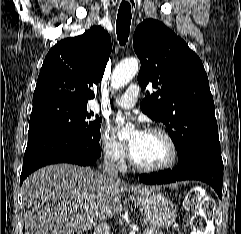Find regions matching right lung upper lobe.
Returning a JSON list of instances; mask_svg holds the SVG:
<instances>
[{"instance_id": "1", "label": "right lung upper lobe", "mask_w": 241, "mask_h": 234, "mask_svg": "<svg viewBox=\"0 0 241 234\" xmlns=\"http://www.w3.org/2000/svg\"><path fill=\"white\" fill-rule=\"evenodd\" d=\"M111 50V38L100 26L58 42L43 62L33 105L49 102L87 104L94 98L91 87L101 81Z\"/></svg>"}]
</instances>
